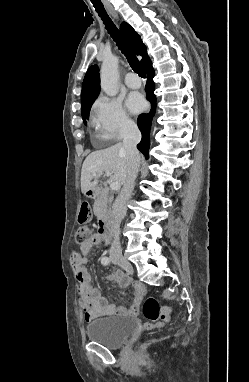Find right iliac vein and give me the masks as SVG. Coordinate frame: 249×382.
I'll return each instance as SVG.
<instances>
[{"mask_svg":"<svg viewBox=\"0 0 249 382\" xmlns=\"http://www.w3.org/2000/svg\"><path fill=\"white\" fill-rule=\"evenodd\" d=\"M111 259L115 264L121 266L128 273H133V267L131 263L124 256H112Z\"/></svg>","mask_w":249,"mask_h":382,"instance_id":"right-iliac-vein-1","label":"right iliac vein"}]
</instances>
